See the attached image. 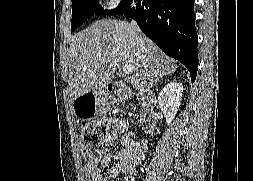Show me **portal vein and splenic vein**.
Instances as JSON below:
<instances>
[{
  "label": "portal vein and splenic vein",
  "mask_w": 253,
  "mask_h": 181,
  "mask_svg": "<svg viewBox=\"0 0 253 181\" xmlns=\"http://www.w3.org/2000/svg\"><path fill=\"white\" fill-rule=\"evenodd\" d=\"M122 70L125 74L131 75L134 71V67L131 64H123L122 65Z\"/></svg>",
  "instance_id": "portal-vein-and-splenic-vein-1"
}]
</instances>
